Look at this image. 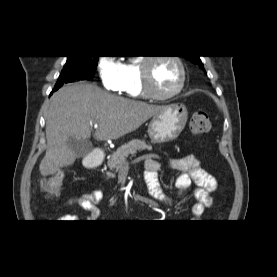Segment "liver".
<instances>
[{
    "label": "liver",
    "instance_id": "6515ba94",
    "mask_svg": "<svg viewBox=\"0 0 277 277\" xmlns=\"http://www.w3.org/2000/svg\"><path fill=\"white\" fill-rule=\"evenodd\" d=\"M163 109L112 95L92 84L60 88L52 95L46 115L47 150L39 166L41 175L73 165L76 155L67 142L71 137L89 139L93 123H98L97 140H115L137 130Z\"/></svg>",
    "mask_w": 277,
    "mask_h": 277
}]
</instances>
